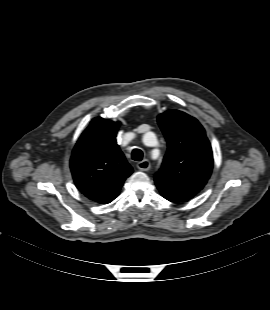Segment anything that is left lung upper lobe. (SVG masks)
<instances>
[{
	"mask_svg": "<svg viewBox=\"0 0 270 310\" xmlns=\"http://www.w3.org/2000/svg\"><path fill=\"white\" fill-rule=\"evenodd\" d=\"M157 121L168 150L155 182L200 191L213 168L212 149L204 128L194 117L178 110L160 114Z\"/></svg>",
	"mask_w": 270,
	"mask_h": 310,
	"instance_id": "obj_1",
	"label": "left lung upper lobe"
}]
</instances>
